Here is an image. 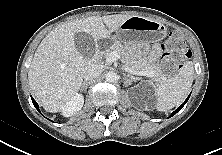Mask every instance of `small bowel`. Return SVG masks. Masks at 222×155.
Instances as JSON below:
<instances>
[{"label": "small bowel", "mask_w": 222, "mask_h": 155, "mask_svg": "<svg viewBox=\"0 0 222 155\" xmlns=\"http://www.w3.org/2000/svg\"><path fill=\"white\" fill-rule=\"evenodd\" d=\"M158 53H159V48H158V47H154V48L152 49V55H153V56H156Z\"/></svg>", "instance_id": "c3829d8e"}]
</instances>
